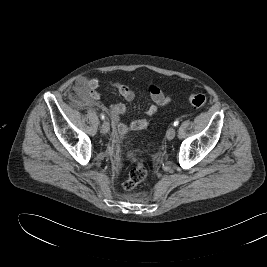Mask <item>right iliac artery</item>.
<instances>
[{
	"instance_id": "1",
	"label": "right iliac artery",
	"mask_w": 267,
	"mask_h": 267,
	"mask_svg": "<svg viewBox=\"0 0 267 267\" xmlns=\"http://www.w3.org/2000/svg\"><path fill=\"white\" fill-rule=\"evenodd\" d=\"M100 117H101V119H102V120H104V119H105V116H104V114H101V115H100Z\"/></svg>"
}]
</instances>
